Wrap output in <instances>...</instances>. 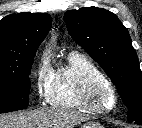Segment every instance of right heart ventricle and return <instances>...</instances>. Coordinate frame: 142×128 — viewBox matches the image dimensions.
<instances>
[{
  "instance_id": "1",
  "label": "right heart ventricle",
  "mask_w": 142,
  "mask_h": 128,
  "mask_svg": "<svg viewBox=\"0 0 142 128\" xmlns=\"http://www.w3.org/2000/svg\"><path fill=\"white\" fill-rule=\"evenodd\" d=\"M93 77L105 78L102 71L86 56L71 53L68 64L54 71L48 102L56 107L88 110L81 99L85 83Z\"/></svg>"
}]
</instances>
